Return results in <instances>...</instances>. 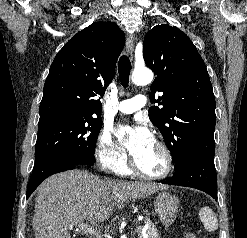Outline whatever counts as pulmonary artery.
Listing matches in <instances>:
<instances>
[{
    "mask_svg": "<svg viewBox=\"0 0 247 238\" xmlns=\"http://www.w3.org/2000/svg\"><path fill=\"white\" fill-rule=\"evenodd\" d=\"M146 102L147 99L144 95H136L131 99L119 102L116 106V110L124 114H131L143 108Z\"/></svg>",
    "mask_w": 247,
    "mask_h": 238,
    "instance_id": "obj_1",
    "label": "pulmonary artery"
}]
</instances>
